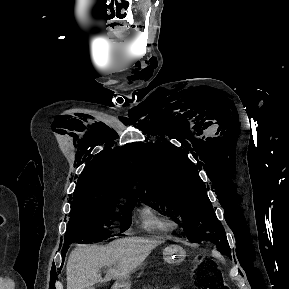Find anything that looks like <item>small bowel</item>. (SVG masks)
<instances>
[{
	"label": "small bowel",
	"mask_w": 289,
	"mask_h": 289,
	"mask_svg": "<svg viewBox=\"0 0 289 289\" xmlns=\"http://www.w3.org/2000/svg\"><path fill=\"white\" fill-rule=\"evenodd\" d=\"M172 289H179L178 287H174V288H172Z\"/></svg>",
	"instance_id": "1"
}]
</instances>
